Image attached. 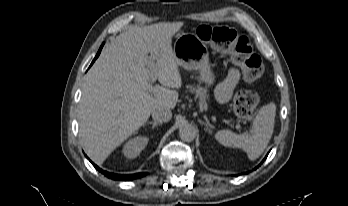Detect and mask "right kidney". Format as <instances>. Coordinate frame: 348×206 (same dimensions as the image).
<instances>
[{"mask_svg":"<svg viewBox=\"0 0 348 206\" xmlns=\"http://www.w3.org/2000/svg\"><path fill=\"white\" fill-rule=\"evenodd\" d=\"M148 138L144 136H136L129 139L123 146V154L128 159H134L139 156L140 152L146 147Z\"/></svg>","mask_w":348,"mask_h":206,"instance_id":"right-kidney-1","label":"right kidney"}]
</instances>
